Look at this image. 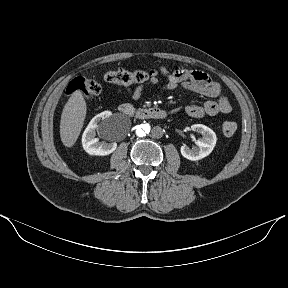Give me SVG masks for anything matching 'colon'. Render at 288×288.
I'll list each match as a JSON object with an SVG mask.
<instances>
[{
    "instance_id": "colon-1",
    "label": "colon",
    "mask_w": 288,
    "mask_h": 288,
    "mask_svg": "<svg viewBox=\"0 0 288 288\" xmlns=\"http://www.w3.org/2000/svg\"><path fill=\"white\" fill-rule=\"evenodd\" d=\"M154 75L153 71H145L141 69L126 70L123 68L108 71L104 75V80L109 83L119 85L141 84L148 81ZM101 86L92 79L77 77L73 79L66 90L68 95L80 93L86 98H92L99 95ZM222 131L226 136H232L237 131V124L233 121H225L222 124Z\"/></svg>"
}]
</instances>
